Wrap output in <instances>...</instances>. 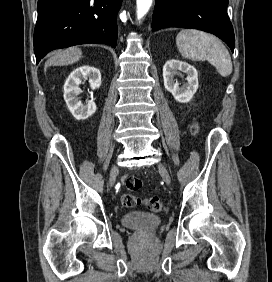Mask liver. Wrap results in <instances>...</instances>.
<instances>
[{
  "mask_svg": "<svg viewBox=\"0 0 272 282\" xmlns=\"http://www.w3.org/2000/svg\"><path fill=\"white\" fill-rule=\"evenodd\" d=\"M82 57V51L78 47H71L64 51H58L45 63V69L49 66H63L77 62Z\"/></svg>",
  "mask_w": 272,
  "mask_h": 282,
  "instance_id": "liver-1",
  "label": "liver"
}]
</instances>
